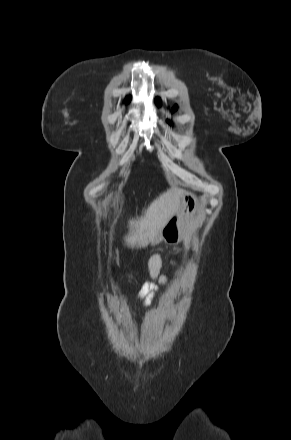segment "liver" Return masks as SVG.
<instances>
[{"mask_svg":"<svg viewBox=\"0 0 291 440\" xmlns=\"http://www.w3.org/2000/svg\"><path fill=\"white\" fill-rule=\"evenodd\" d=\"M183 191L173 189L156 198L145 210L144 215L129 222L130 233L126 242L131 247H145L165 226L178 209Z\"/></svg>","mask_w":291,"mask_h":440,"instance_id":"6515ba94","label":"liver"}]
</instances>
